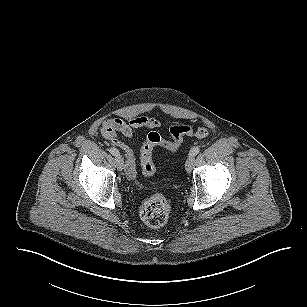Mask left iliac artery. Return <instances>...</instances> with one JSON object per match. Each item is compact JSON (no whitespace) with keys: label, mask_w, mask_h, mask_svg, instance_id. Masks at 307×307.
<instances>
[{"label":"left iliac artery","mask_w":307,"mask_h":307,"mask_svg":"<svg viewBox=\"0 0 307 307\" xmlns=\"http://www.w3.org/2000/svg\"><path fill=\"white\" fill-rule=\"evenodd\" d=\"M199 152H200V148H199V147H193V148L190 150L189 155H191V156H196Z\"/></svg>","instance_id":"44dca946"}]
</instances>
